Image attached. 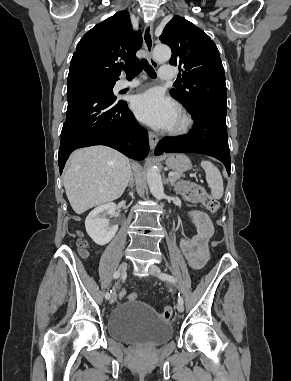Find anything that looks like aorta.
Listing matches in <instances>:
<instances>
[{
    "instance_id": "obj_1",
    "label": "aorta",
    "mask_w": 291,
    "mask_h": 381,
    "mask_svg": "<svg viewBox=\"0 0 291 381\" xmlns=\"http://www.w3.org/2000/svg\"><path fill=\"white\" fill-rule=\"evenodd\" d=\"M153 56L159 62L168 61L171 57V49L167 45H156ZM147 182L152 195L156 199H162L164 197L163 184L160 174L154 167L147 170Z\"/></svg>"
}]
</instances>
